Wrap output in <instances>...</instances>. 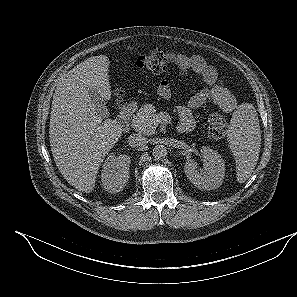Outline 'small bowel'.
I'll return each mask as SVG.
<instances>
[{
	"label": "small bowel",
	"instance_id": "obj_1",
	"mask_svg": "<svg viewBox=\"0 0 297 297\" xmlns=\"http://www.w3.org/2000/svg\"><path fill=\"white\" fill-rule=\"evenodd\" d=\"M168 54L171 56L180 75L193 72L200 76L204 83L201 90L195 92L187 102L178 106L177 111L180 117L178 128L181 132H188L194 127L193 110L201 107L207 101L213 102L227 113H231L237 108L235 97L219 79L216 69L208 64L203 57L185 55L175 51H170ZM158 93L166 99L172 97L171 87L167 81L160 82Z\"/></svg>",
	"mask_w": 297,
	"mask_h": 297
}]
</instances>
